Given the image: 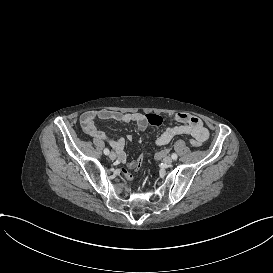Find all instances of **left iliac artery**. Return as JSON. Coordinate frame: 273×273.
Wrapping results in <instances>:
<instances>
[{
  "label": "left iliac artery",
  "instance_id": "left-iliac-artery-1",
  "mask_svg": "<svg viewBox=\"0 0 273 273\" xmlns=\"http://www.w3.org/2000/svg\"><path fill=\"white\" fill-rule=\"evenodd\" d=\"M171 157H172L173 160H176V159H177V154L173 153V154L171 155Z\"/></svg>",
  "mask_w": 273,
  "mask_h": 273
}]
</instances>
